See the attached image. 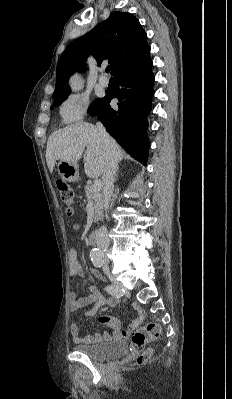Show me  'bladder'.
Instances as JSON below:
<instances>
[{
  "label": "bladder",
  "mask_w": 232,
  "mask_h": 399,
  "mask_svg": "<svg viewBox=\"0 0 232 399\" xmlns=\"http://www.w3.org/2000/svg\"><path fill=\"white\" fill-rule=\"evenodd\" d=\"M74 350L92 360L106 361L123 357L128 352V344L124 340H112L92 344H76Z\"/></svg>",
  "instance_id": "bladder-1"
}]
</instances>
